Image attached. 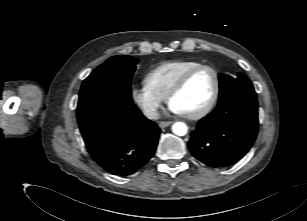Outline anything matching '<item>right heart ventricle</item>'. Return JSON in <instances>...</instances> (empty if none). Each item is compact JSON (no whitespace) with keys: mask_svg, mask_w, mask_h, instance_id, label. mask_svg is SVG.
<instances>
[{"mask_svg":"<svg viewBox=\"0 0 307 221\" xmlns=\"http://www.w3.org/2000/svg\"><path fill=\"white\" fill-rule=\"evenodd\" d=\"M200 64V62L194 60L163 62L145 75L144 85L155 95L164 99L173 85L185 72Z\"/></svg>","mask_w":307,"mask_h":221,"instance_id":"obj_1","label":"right heart ventricle"}]
</instances>
